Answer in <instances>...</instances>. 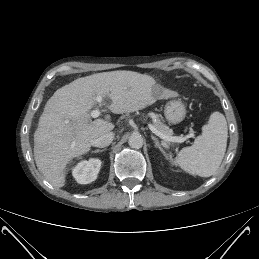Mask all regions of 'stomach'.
<instances>
[{
    "instance_id": "stomach-1",
    "label": "stomach",
    "mask_w": 259,
    "mask_h": 259,
    "mask_svg": "<svg viewBox=\"0 0 259 259\" xmlns=\"http://www.w3.org/2000/svg\"><path fill=\"white\" fill-rule=\"evenodd\" d=\"M164 114L169 123L177 124L185 118L186 109L181 101L171 100L166 104Z\"/></svg>"
}]
</instances>
